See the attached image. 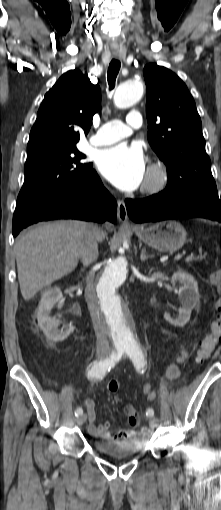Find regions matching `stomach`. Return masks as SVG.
I'll return each mask as SVG.
<instances>
[{
	"label": "stomach",
	"instance_id": "obj_1",
	"mask_svg": "<svg viewBox=\"0 0 221 510\" xmlns=\"http://www.w3.org/2000/svg\"><path fill=\"white\" fill-rule=\"evenodd\" d=\"M133 230L145 244L164 252H174L186 241V231L177 221H162L149 227H136Z\"/></svg>",
	"mask_w": 221,
	"mask_h": 510
}]
</instances>
